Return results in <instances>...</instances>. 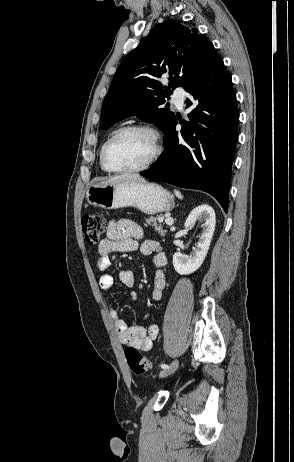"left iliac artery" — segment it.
<instances>
[{
  "label": "left iliac artery",
  "mask_w": 294,
  "mask_h": 462,
  "mask_svg": "<svg viewBox=\"0 0 294 462\" xmlns=\"http://www.w3.org/2000/svg\"><path fill=\"white\" fill-rule=\"evenodd\" d=\"M169 367H170V365H167V364H161V368H162V369H167V368H169Z\"/></svg>",
  "instance_id": "obj_1"
}]
</instances>
